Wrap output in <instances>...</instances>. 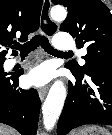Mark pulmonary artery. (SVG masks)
<instances>
[{
	"label": "pulmonary artery",
	"instance_id": "obj_1",
	"mask_svg": "<svg viewBox=\"0 0 112 135\" xmlns=\"http://www.w3.org/2000/svg\"><path fill=\"white\" fill-rule=\"evenodd\" d=\"M53 44L56 49L60 51H68L74 48V41L71 36L65 33L56 34ZM19 60H14L13 64L18 63Z\"/></svg>",
	"mask_w": 112,
	"mask_h": 135
}]
</instances>
